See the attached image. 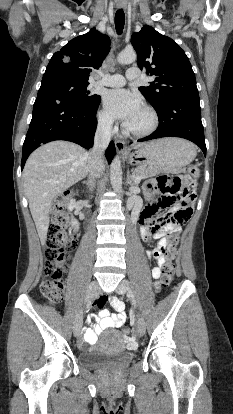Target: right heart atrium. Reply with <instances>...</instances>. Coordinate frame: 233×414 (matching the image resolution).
Listing matches in <instances>:
<instances>
[{"label":"right heart atrium","mask_w":233,"mask_h":414,"mask_svg":"<svg viewBox=\"0 0 233 414\" xmlns=\"http://www.w3.org/2000/svg\"><path fill=\"white\" fill-rule=\"evenodd\" d=\"M97 125L101 132L110 133L113 130V119L104 110L97 112Z\"/></svg>","instance_id":"right-heart-atrium-1"}]
</instances>
